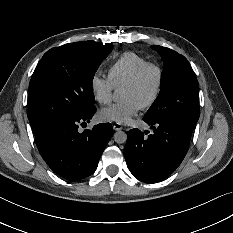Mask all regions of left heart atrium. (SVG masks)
I'll return each mask as SVG.
<instances>
[{
    "label": "left heart atrium",
    "mask_w": 233,
    "mask_h": 233,
    "mask_svg": "<svg viewBox=\"0 0 233 233\" xmlns=\"http://www.w3.org/2000/svg\"><path fill=\"white\" fill-rule=\"evenodd\" d=\"M143 105L134 98H126L119 103L111 105L99 111V118L103 121L116 123H128Z\"/></svg>",
    "instance_id": "1"
}]
</instances>
